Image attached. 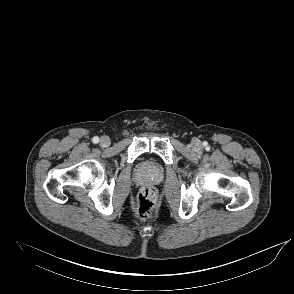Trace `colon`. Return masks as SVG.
<instances>
[{"mask_svg": "<svg viewBox=\"0 0 294 294\" xmlns=\"http://www.w3.org/2000/svg\"><path fill=\"white\" fill-rule=\"evenodd\" d=\"M157 203V193L153 187L143 188L137 198L136 203V214L142 219L149 218L155 208Z\"/></svg>", "mask_w": 294, "mask_h": 294, "instance_id": "5ec220e1", "label": "colon"}]
</instances>
